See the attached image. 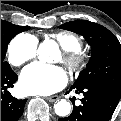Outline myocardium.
<instances>
[{
    "instance_id": "myocardium-1",
    "label": "myocardium",
    "mask_w": 121,
    "mask_h": 121,
    "mask_svg": "<svg viewBox=\"0 0 121 121\" xmlns=\"http://www.w3.org/2000/svg\"><path fill=\"white\" fill-rule=\"evenodd\" d=\"M61 61L72 72L82 70L86 65V57L78 50L64 51L61 56Z\"/></svg>"
}]
</instances>
